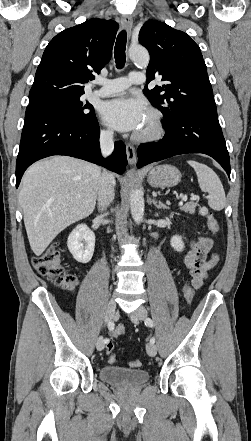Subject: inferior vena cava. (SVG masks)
Returning a JSON list of instances; mask_svg holds the SVG:
<instances>
[{
  "label": "inferior vena cava",
  "mask_w": 251,
  "mask_h": 441,
  "mask_svg": "<svg viewBox=\"0 0 251 441\" xmlns=\"http://www.w3.org/2000/svg\"><path fill=\"white\" fill-rule=\"evenodd\" d=\"M100 148L104 157L110 155L114 149L113 131H102L100 134ZM114 177L111 173L103 171L98 181V207L105 210L114 198Z\"/></svg>",
  "instance_id": "1"
}]
</instances>
